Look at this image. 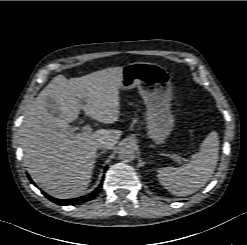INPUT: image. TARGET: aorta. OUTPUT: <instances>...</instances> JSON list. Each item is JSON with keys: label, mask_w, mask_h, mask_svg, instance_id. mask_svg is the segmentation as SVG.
Listing matches in <instances>:
<instances>
[{"label": "aorta", "mask_w": 247, "mask_h": 245, "mask_svg": "<svg viewBox=\"0 0 247 245\" xmlns=\"http://www.w3.org/2000/svg\"><path fill=\"white\" fill-rule=\"evenodd\" d=\"M135 149L131 145H124L118 152V157L124 162H131L135 159Z\"/></svg>", "instance_id": "aorta-1"}]
</instances>
